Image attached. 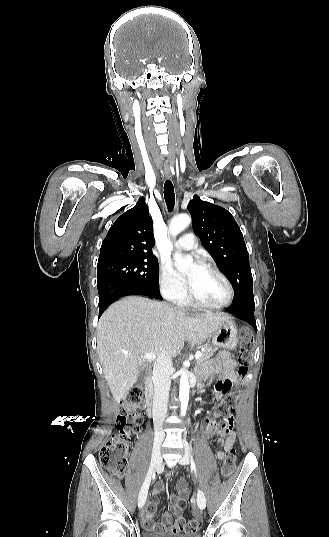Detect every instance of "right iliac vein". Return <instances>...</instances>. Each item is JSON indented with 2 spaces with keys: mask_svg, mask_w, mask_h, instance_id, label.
I'll use <instances>...</instances> for the list:
<instances>
[{
  "mask_svg": "<svg viewBox=\"0 0 329 537\" xmlns=\"http://www.w3.org/2000/svg\"><path fill=\"white\" fill-rule=\"evenodd\" d=\"M161 441H162V439H159L154 444L150 469H149L148 475H147V477H146V479H145V481H144V483H143V485H142V487L140 489L139 495H138V506L140 508H142L144 506V504H145L147 494H148L149 485H150V481H151L152 472H153V470L155 468L159 469V467H160V461H161V458H160V444H161Z\"/></svg>",
  "mask_w": 329,
  "mask_h": 537,
  "instance_id": "1",
  "label": "right iliac vein"
}]
</instances>
